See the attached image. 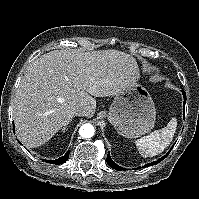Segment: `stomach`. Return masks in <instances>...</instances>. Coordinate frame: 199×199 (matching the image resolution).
<instances>
[{"label":"stomach","instance_id":"stomach-1","mask_svg":"<svg viewBox=\"0 0 199 199\" xmlns=\"http://www.w3.org/2000/svg\"><path fill=\"white\" fill-rule=\"evenodd\" d=\"M107 118L120 135L137 138L153 129L156 110L147 89L135 83L115 95Z\"/></svg>","mask_w":199,"mask_h":199}]
</instances>
